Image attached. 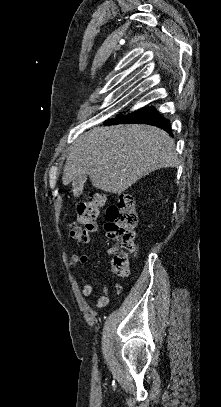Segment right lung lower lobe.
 <instances>
[{"instance_id": "obj_1", "label": "right lung lower lobe", "mask_w": 221, "mask_h": 407, "mask_svg": "<svg viewBox=\"0 0 221 407\" xmlns=\"http://www.w3.org/2000/svg\"><path fill=\"white\" fill-rule=\"evenodd\" d=\"M109 123L112 124H149L153 126L160 127L171 133V129L169 126V121L162 117L159 111H156L154 107H143L137 111H132L126 115H118L115 119L109 120Z\"/></svg>"}]
</instances>
